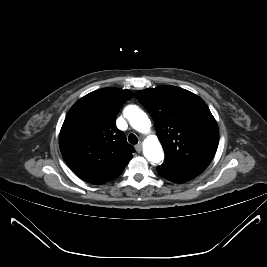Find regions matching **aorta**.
I'll list each match as a JSON object with an SVG mask.
<instances>
[{
    "instance_id": "1",
    "label": "aorta",
    "mask_w": 267,
    "mask_h": 267,
    "mask_svg": "<svg viewBox=\"0 0 267 267\" xmlns=\"http://www.w3.org/2000/svg\"><path fill=\"white\" fill-rule=\"evenodd\" d=\"M124 117L136 131L147 134L150 131L151 121L147 114L136 105H128L124 109ZM143 154L145 158L158 164L163 161L164 154L162 146L156 136H148L143 143Z\"/></svg>"
}]
</instances>
